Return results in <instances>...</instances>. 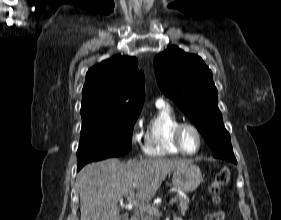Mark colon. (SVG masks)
I'll list each match as a JSON object with an SVG mask.
<instances>
[{
  "instance_id": "1",
  "label": "colon",
  "mask_w": 281,
  "mask_h": 220,
  "mask_svg": "<svg viewBox=\"0 0 281 220\" xmlns=\"http://www.w3.org/2000/svg\"><path fill=\"white\" fill-rule=\"evenodd\" d=\"M230 182V169L228 167H223L214 177L213 182L209 187V191L212 196L214 203H220L221 197L220 192L222 187L228 185ZM205 220H225V213L223 210L218 209L209 213Z\"/></svg>"
}]
</instances>
